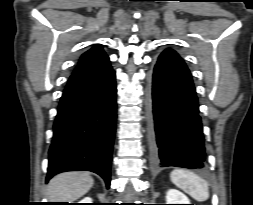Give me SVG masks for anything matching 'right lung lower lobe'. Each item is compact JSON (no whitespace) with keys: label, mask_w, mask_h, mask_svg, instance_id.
<instances>
[{"label":"right lung lower lobe","mask_w":253,"mask_h":205,"mask_svg":"<svg viewBox=\"0 0 253 205\" xmlns=\"http://www.w3.org/2000/svg\"><path fill=\"white\" fill-rule=\"evenodd\" d=\"M116 92L109 59L70 76L53 126L47 180L60 172L87 170L109 188Z\"/></svg>","instance_id":"obj_1"}]
</instances>
